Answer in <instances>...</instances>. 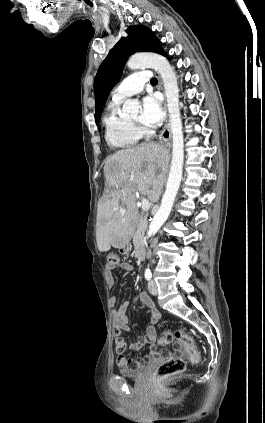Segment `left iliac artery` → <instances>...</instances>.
Here are the masks:
<instances>
[{
    "mask_svg": "<svg viewBox=\"0 0 265 423\" xmlns=\"http://www.w3.org/2000/svg\"><path fill=\"white\" fill-rule=\"evenodd\" d=\"M151 277H152L151 270H150L149 268H147V269H146V271H145V278H146L147 280H150V279H151Z\"/></svg>",
    "mask_w": 265,
    "mask_h": 423,
    "instance_id": "44dca946",
    "label": "left iliac artery"
}]
</instances>
